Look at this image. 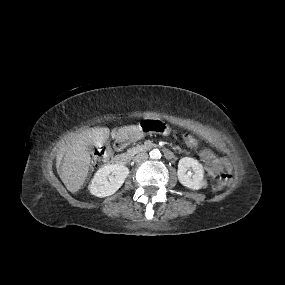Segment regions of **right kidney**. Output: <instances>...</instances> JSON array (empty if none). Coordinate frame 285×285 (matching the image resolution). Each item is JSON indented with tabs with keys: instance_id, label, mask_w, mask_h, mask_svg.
Returning <instances> with one entry per match:
<instances>
[{
	"instance_id": "right-kidney-1",
	"label": "right kidney",
	"mask_w": 285,
	"mask_h": 285,
	"mask_svg": "<svg viewBox=\"0 0 285 285\" xmlns=\"http://www.w3.org/2000/svg\"><path fill=\"white\" fill-rule=\"evenodd\" d=\"M129 169L123 164H108L95 173L89 191L92 195L104 198L114 194L124 183Z\"/></svg>"
}]
</instances>
